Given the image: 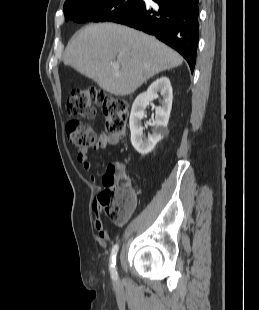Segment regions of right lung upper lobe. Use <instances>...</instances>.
I'll return each mask as SVG.
<instances>
[{
    "instance_id": "1",
    "label": "right lung upper lobe",
    "mask_w": 259,
    "mask_h": 310,
    "mask_svg": "<svg viewBox=\"0 0 259 310\" xmlns=\"http://www.w3.org/2000/svg\"><path fill=\"white\" fill-rule=\"evenodd\" d=\"M101 0H67L64 4V6L69 5H84V4H90Z\"/></svg>"
}]
</instances>
